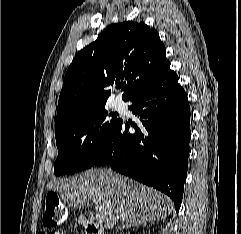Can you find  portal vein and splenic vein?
<instances>
[{
    "label": "portal vein and splenic vein",
    "instance_id": "18ae733b",
    "mask_svg": "<svg viewBox=\"0 0 241 234\" xmlns=\"http://www.w3.org/2000/svg\"><path fill=\"white\" fill-rule=\"evenodd\" d=\"M96 210H98V207H95ZM96 219L99 221V222H102L103 221V217L100 213H96Z\"/></svg>",
    "mask_w": 241,
    "mask_h": 234
}]
</instances>
